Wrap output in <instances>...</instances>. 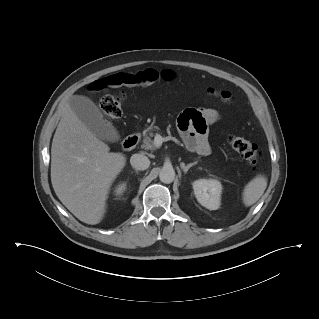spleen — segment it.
<instances>
[{
    "label": "spleen",
    "instance_id": "3e777b00",
    "mask_svg": "<svg viewBox=\"0 0 319 319\" xmlns=\"http://www.w3.org/2000/svg\"><path fill=\"white\" fill-rule=\"evenodd\" d=\"M267 187V179L263 175H257L252 179L243 190V203L245 206H251L256 203L264 194Z\"/></svg>",
    "mask_w": 319,
    "mask_h": 319
}]
</instances>
